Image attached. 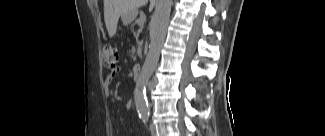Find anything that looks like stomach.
<instances>
[{
    "label": "stomach",
    "mask_w": 325,
    "mask_h": 136,
    "mask_svg": "<svg viewBox=\"0 0 325 136\" xmlns=\"http://www.w3.org/2000/svg\"><path fill=\"white\" fill-rule=\"evenodd\" d=\"M137 16L136 12H131L122 16V20L125 24L132 22Z\"/></svg>",
    "instance_id": "obj_1"
}]
</instances>
